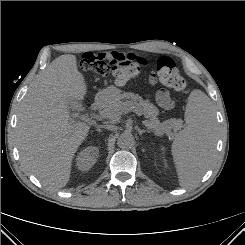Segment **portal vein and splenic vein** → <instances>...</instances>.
Listing matches in <instances>:
<instances>
[{"instance_id":"obj_1","label":"portal vein and splenic vein","mask_w":245,"mask_h":245,"mask_svg":"<svg viewBox=\"0 0 245 245\" xmlns=\"http://www.w3.org/2000/svg\"><path fill=\"white\" fill-rule=\"evenodd\" d=\"M127 111H132V112L136 113L138 116L141 115L140 111L135 107H131V108L127 109Z\"/></svg>"}]
</instances>
